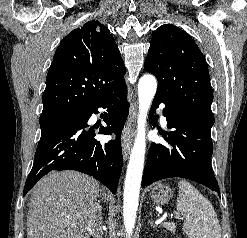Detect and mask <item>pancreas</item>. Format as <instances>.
<instances>
[{"label": "pancreas", "mask_w": 247, "mask_h": 238, "mask_svg": "<svg viewBox=\"0 0 247 238\" xmlns=\"http://www.w3.org/2000/svg\"><path fill=\"white\" fill-rule=\"evenodd\" d=\"M163 227H165L167 230L171 231L172 233H175L176 226L174 223H163Z\"/></svg>", "instance_id": "obj_1"}]
</instances>
